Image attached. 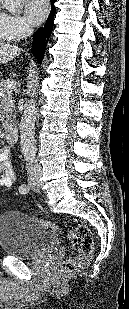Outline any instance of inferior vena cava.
I'll list each match as a JSON object with an SVG mask.
<instances>
[{
    "label": "inferior vena cava",
    "mask_w": 129,
    "mask_h": 309,
    "mask_svg": "<svg viewBox=\"0 0 129 309\" xmlns=\"http://www.w3.org/2000/svg\"><path fill=\"white\" fill-rule=\"evenodd\" d=\"M33 28L32 27H30L29 25H25V27H24V33H25V37L27 38V37H30L32 34H33ZM36 169H37V171L39 172V167L38 166H36Z\"/></svg>",
    "instance_id": "obj_1"
}]
</instances>
